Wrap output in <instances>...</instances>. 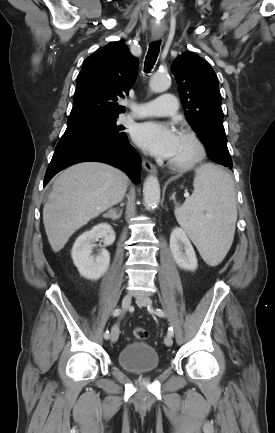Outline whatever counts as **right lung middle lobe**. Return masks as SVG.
I'll return each mask as SVG.
<instances>
[{"label":"right lung middle lobe","instance_id":"obj_1","mask_svg":"<svg viewBox=\"0 0 275 433\" xmlns=\"http://www.w3.org/2000/svg\"><path fill=\"white\" fill-rule=\"evenodd\" d=\"M118 116L86 115L68 118V126L58 142L102 143L126 137L123 126L116 125Z\"/></svg>","mask_w":275,"mask_h":433}]
</instances>
